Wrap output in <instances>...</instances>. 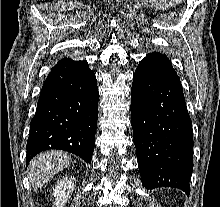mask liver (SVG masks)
<instances>
[{"instance_id":"liver-1","label":"liver","mask_w":220,"mask_h":207,"mask_svg":"<svg viewBox=\"0 0 220 207\" xmlns=\"http://www.w3.org/2000/svg\"><path fill=\"white\" fill-rule=\"evenodd\" d=\"M72 161L63 151H45L34 157L28 167V176L34 190L42 187L54 175L62 171Z\"/></svg>"}]
</instances>
